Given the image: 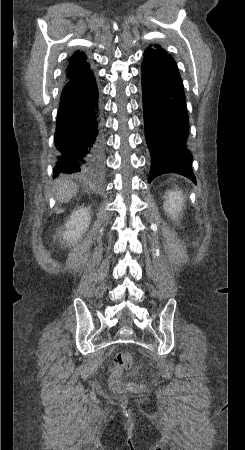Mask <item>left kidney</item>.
Masks as SVG:
<instances>
[{"mask_svg":"<svg viewBox=\"0 0 245 450\" xmlns=\"http://www.w3.org/2000/svg\"><path fill=\"white\" fill-rule=\"evenodd\" d=\"M164 210L173 220H178L184 206V197L181 191H168L164 196Z\"/></svg>","mask_w":245,"mask_h":450,"instance_id":"left-kidney-1","label":"left kidney"}]
</instances>
